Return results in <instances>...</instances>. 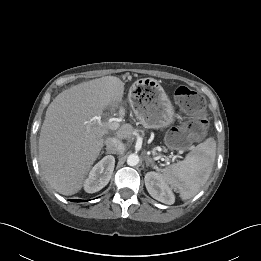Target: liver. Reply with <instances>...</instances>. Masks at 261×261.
Masks as SVG:
<instances>
[{"label": "liver", "instance_id": "1", "mask_svg": "<svg viewBox=\"0 0 261 261\" xmlns=\"http://www.w3.org/2000/svg\"><path fill=\"white\" fill-rule=\"evenodd\" d=\"M124 83L105 76L61 92L48 106L39 137V164L48 184L63 195L79 192L108 133L97 124L108 106L122 101ZM133 126L123 124L118 139H129Z\"/></svg>", "mask_w": 261, "mask_h": 261}]
</instances>
